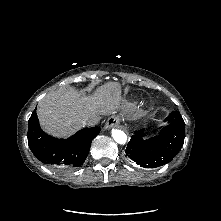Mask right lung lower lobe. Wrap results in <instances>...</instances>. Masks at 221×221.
<instances>
[{"instance_id":"98d812e1","label":"right lung lower lobe","mask_w":221,"mask_h":221,"mask_svg":"<svg viewBox=\"0 0 221 221\" xmlns=\"http://www.w3.org/2000/svg\"><path fill=\"white\" fill-rule=\"evenodd\" d=\"M100 130L98 127L85 128L68 139H57L41 130L35 109L28 121V145L41 162L70 170L83 164L91 142Z\"/></svg>"}]
</instances>
